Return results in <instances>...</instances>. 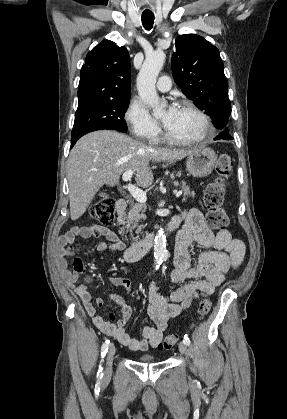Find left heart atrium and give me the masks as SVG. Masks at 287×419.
<instances>
[{
  "instance_id": "obj_1",
  "label": "left heart atrium",
  "mask_w": 287,
  "mask_h": 419,
  "mask_svg": "<svg viewBox=\"0 0 287 419\" xmlns=\"http://www.w3.org/2000/svg\"><path fill=\"white\" fill-rule=\"evenodd\" d=\"M177 108L175 106L169 107L167 110V119H169L176 112Z\"/></svg>"
}]
</instances>
